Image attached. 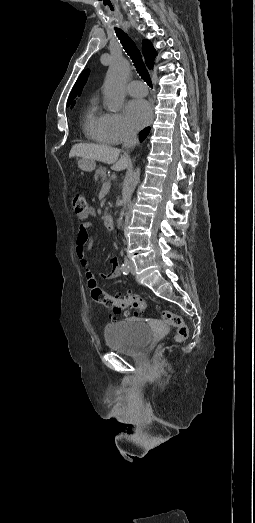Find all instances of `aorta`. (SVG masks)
Listing matches in <instances>:
<instances>
[{"mask_svg":"<svg viewBox=\"0 0 255 523\" xmlns=\"http://www.w3.org/2000/svg\"><path fill=\"white\" fill-rule=\"evenodd\" d=\"M129 74V63L124 60H116L111 63L104 82V98L109 110L116 112L123 105L125 93L124 86ZM140 181V168H136L130 177V187L123 193V201L126 204L132 197L137 184ZM124 211L122 210L117 219V225L123 222Z\"/></svg>","mask_w":255,"mask_h":523,"instance_id":"aorta-1","label":"aorta"}]
</instances>
